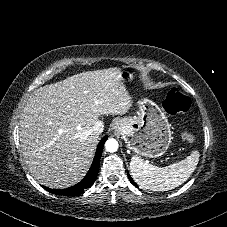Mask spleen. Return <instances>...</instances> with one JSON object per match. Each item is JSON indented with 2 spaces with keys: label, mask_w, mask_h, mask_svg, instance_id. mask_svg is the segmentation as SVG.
Listing matches in <instances>:
<instances>
[{
  "label": "spleen",
  "mask_w": 227,
  "mask_h": 227,
  "mask_svg": "<svg viewBox=\"0 0 227 227\" xmlns=\"http://www.w3.org/2000/svg\"><path fill=\"white\" fill-rule=\"evenodd\" d=\"M199 151L194 150L187 158L165 167H157L134 155L130 171L135 182L143 189L168 191L183 184L194 172L199 161Z\"/></svg>",
  "instance_id": "spleen-1"
}]
</instances>
